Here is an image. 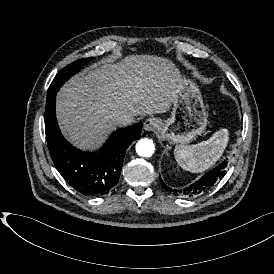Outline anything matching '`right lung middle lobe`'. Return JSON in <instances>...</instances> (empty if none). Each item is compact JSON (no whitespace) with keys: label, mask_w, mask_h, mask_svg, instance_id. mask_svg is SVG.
Wrapping results in <instances>:
<instances>
[{"label":"right lung middle lobe","mask_w":274,"mask_h":274,"mask_svg":"<svg viewBox=\"0 0 274 274\" xmlns=\"http://www.w3.org/2000/svg\"><path fill=\"white\" fill-rule=\"evenodd\" d=\"M93 57L85 58L81 60H77L69 65H67L64 69H62L52 81L47 95H52L58 92L60 87L67 81L72 75L79 72V70L89 61H91Z\"/></svg>","instance_id":"obj_1"}]
</instances>
